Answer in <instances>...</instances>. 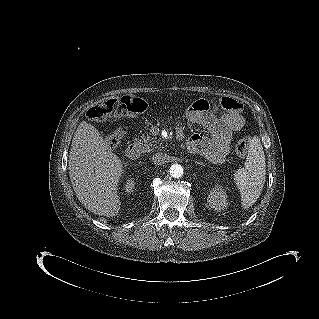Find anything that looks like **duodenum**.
I'll use <instances>...</instances> for the list:
<instances>
[{
  "instance_id": "obj_1",
  "label": "duodenum",
  "mask_w": 319,
  "mask_h": 319,
  "mask_svg": "<svg viewBox=\"0 0 319 319\" xmlns=\"http://www.w3.org/2000/svg\"><path fill=\"white\" fill-rule=\"evenodd\" d=\"M183 134L179 133L178 135V139H182ZM141 155V150H140V146L138 144H131L128 146L127 150H126V156L130 159H137L139 158Z\"/></svg>"
}]
</instances>
